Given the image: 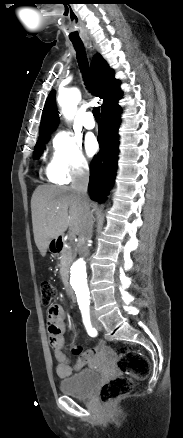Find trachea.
Returning <instances> with one entry per match:
<instances>
[{
    "instance_id": "3493384b",
    "label": "trachea",
    "mask_w": 183,
    "mask_h": 438,
    "mask_svg": "<svg viewBox=\"0 0 183 438\" xmlns=\"http://www.w3.org/2000/svg\"><path fill=\"white\" fill-rule=\"evenodd\" d=\"M73 46L77 53V61L79 65V69L83 75L84 81L86 84H89V65L88 60L86 58L85 48L82 42H73ZM93 115L97 121L100 120V108L94 107Z\"/></svg>"
}]
</instances>
